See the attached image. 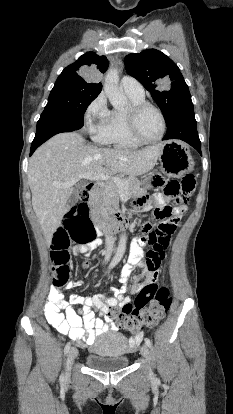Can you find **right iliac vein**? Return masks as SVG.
<instances>
[{
  "label": "right iliac vein",
  "mask_w": 233,
  "mask_h": 414,
  "mask_svg": "<svg viewBox=\"0 0 233 414\" xmlns=\"http://www.w3.org/2000/svg\"><path fill=\"white\" fill-rule=\"evenodd\" d=\"M77 349L76 348H71V350L69 351L68 355H67V360H66V377H69L71 374V369H72V365L74 363L75 358L77 357Z\"/></svg>",
  "instance_id": "obj_1"
}]
</instances>
